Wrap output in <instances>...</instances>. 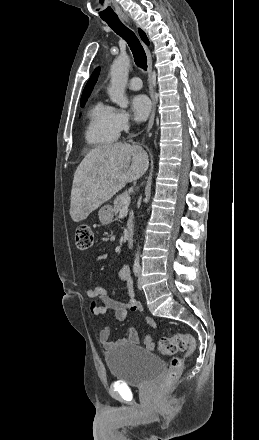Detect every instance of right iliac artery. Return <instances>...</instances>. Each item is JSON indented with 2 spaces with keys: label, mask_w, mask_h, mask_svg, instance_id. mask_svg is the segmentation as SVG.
Instances as JSON below:
<instances>
[{
  "label": "right iliac artery",
  "mask_w": 259,
  "mask_h": 440,
  "mask_svg": "<svg viewBox=\"0 0 259 440\" xmlns=\"http://www.w3.org/2000/svg\"><path fill=\"white\" fill-rule=\"evenodd\" d=\"M139 269H140V266H139L138 264H135V265L133 266V272H134V275H135V276H138V275H139Z\"/></svg>",
  "instance_id": "82829eb1"
}]
</instances>
